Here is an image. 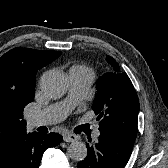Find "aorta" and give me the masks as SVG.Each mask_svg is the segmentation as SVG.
I'll use <instances>...</instances> for the list:
<instances>
[{
    "instance_id": "obj_1",
    "label": "aorta",
    "mask_w": 168,
    "mask_h": 168,
    "mask_svg": "<svg viewBox=\"0 0 168 168\" xmlns=\"http://www.w3.org/2000/svg\"><path fill=\"white\" fill-rule=\"evenodd\" d=\"M68 77L61 71H49L40 80L42 92L50 98H60L68 89ZM68 156L74 161H82L87 156V147L83 142L74 141L67 148Z\"/></svg>"
}]
</instances>
